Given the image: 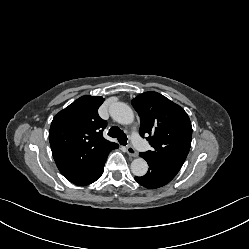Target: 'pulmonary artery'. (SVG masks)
<instances>
[{"mask_svg": "<svg viewBox=\"0 0 249 249\" xmlns=\"http://www.w3.org/2000/svg\"><path fill=\"white\" fill-rule=\"evenodd\" d=\"M132 142L134 145L140 149V150H145L147 148V143L146 141L138 134V133H133L131 136Z\"/></svg>", "mask_w": 249, "mask_h": 249, "instance_id": "pulmonary-artery-1", "label": "pulmonary artery"}]
</instances>
